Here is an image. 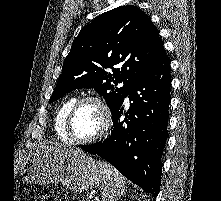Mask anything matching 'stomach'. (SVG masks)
<instances>
[{
  "label": "stomach",
  "mask_w": 221,
  "mask_h": 201,
  "mask_svg": "<svg viewBox=\"0 0 221 201\" xmlns=\"http://www.w3.org/2000/svg\"><path fill=\"white\" fill-rule=\"evenodd\" d=\"M20 177L27 184L60 183L82 193L100 186L105 174L98 162L81 151L39 149L25 159Z\"/></svg>",
  "instance_id": "0dacf381"
}]
</instances>
